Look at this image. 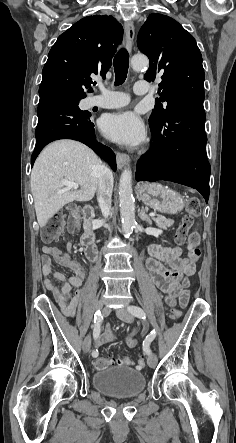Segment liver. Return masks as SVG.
<instances>
[{
  "label": "liver",
  "instance_id": "1",
  "mask_svg": "<svg viewBox=\"0 0 236 443\" xmlns=\"http://www.w3.org/2000/svg\"><path fill=\"white\" fill-rule=\"evenodd\" d=\"M101 166L98 156L80 142L58 140L45 147L30 178L39 226L44 227L66 204L91 200L98 189ZM63 180L77 183L80 189L67 190Z\"/></svg>",
  "mask_w": 236,
  "mask_h": 443
}]
</instances>
